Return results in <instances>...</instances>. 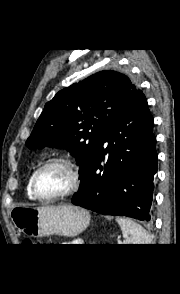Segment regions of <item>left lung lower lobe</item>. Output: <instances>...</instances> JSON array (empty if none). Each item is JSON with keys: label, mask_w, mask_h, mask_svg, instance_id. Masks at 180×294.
Here are the masks:
<instances>
[{"label": "left lung lower lobe", "mask_w": 180, "mask_h": 294, "mask_svg": "<svg viewBox=\"0 0 180 294\" xmlns=\"http://www.w3.org/2000/svg\"><path fill=\"white\" fill-rule=\"evenodd\" d=\"M155 143L153 118L138 91L103 139L72 203L104 215L149 221L157 172Z\"/></svg>", "instance_id": "obj_1"}]
</instances>
